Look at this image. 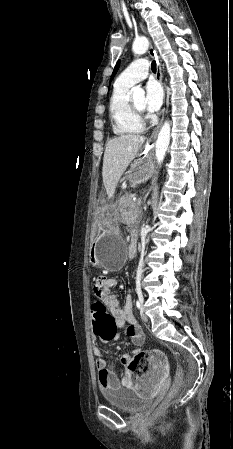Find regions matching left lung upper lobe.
Here are the masks:
<instances>
[{"mask_svg":"<svg viewBox=\"0 0 233 449\" xmlns=\"http://www.w3.org/2000/svg\"><path fill=\"white\" fill-rule=\"evenodd\" d=\"M119 65H120V61H118L117 64H116V66L114 67V70H113V73H112V76H111V80H112L113 77L116 75V73H117V71H118V68H119Z\"/></svg>","mask_w":233,"mask_h":449,"instance_id":"1","label":"left lung upper lobe"}]
</instances>
